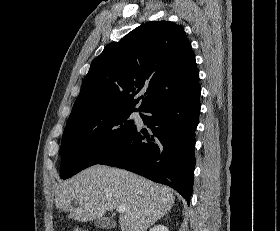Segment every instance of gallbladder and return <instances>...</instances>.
Masks as SVG:
<instances>
[{
	"mask_svg": "<svg viewBox=\"0 0 280 231\" xmlns=\"http://www.w3.org/2000/svg\"><path fill=\"white\" fill-rule=\"evenodd\" d=\"M94 223L102 229H112L116 225V221H113L111 217H100V219H95Z\"/></svg>",
	"mask_w": 280,
	"mask_h": 231,
	"instance_id": "obj_1",
	"label": "gallbladder"
}]
</instances>
